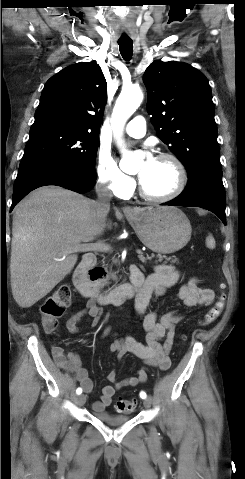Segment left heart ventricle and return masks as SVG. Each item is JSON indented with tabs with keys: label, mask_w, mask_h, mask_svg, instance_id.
<instances>
[{
	"label": "left heart ventricle",
	"mask_w": 245,
	"mask_h": 479,
	"mask_svg": "<svg viewBox=\"0 0 245 479\" xmlns=\"http://www.w3.org/2000/svg\"><path fill=\"white\" fill-rule=\"evenodd\" d=\"M137 174L144 190L153 196H161L170 192L177 179L174 165L169 160L155 159L150 166L141 162Z\"/></svg>",
	"instance_id": "left-heart-ventricle-1"
}]
</instances>
